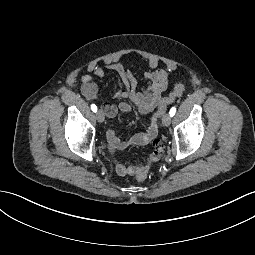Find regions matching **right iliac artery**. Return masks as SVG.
Masks as SVG:
<instances>
[{
    "instance_id": "obj_1",
    "label": "right iliac artery",
    "mask_w": 255,
    "mask_h": 255,
    "mask_svg": "<svg viewBox=\"0 0 255 255\" xmlns=\"http://www.w3.org/2000/svg\"><path fill=\"white\" fill-rule=\"evenodd\" d=\"M91 109H92L93 112H96V111H97V106L94 105V104H92V105H91Z\"/></svg>"
}]
</instances>
